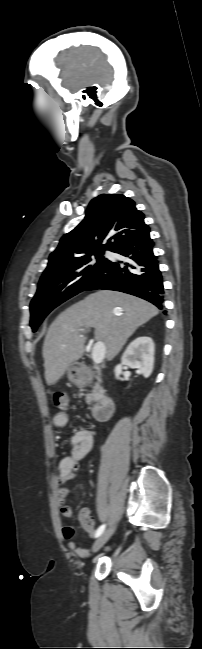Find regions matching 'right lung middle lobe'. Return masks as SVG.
Here are the masks:
<instances>
[{
	"label": "right lung middle lobe",
	"instance_id": "dd1d6c3e",
	"mask_svg": "<svg viewBox=\"0 0 202 649\" xmlns=\"http://www.w3.org/2000/svg\"><path fill=\"white\" fill-rule=\"evenodd\" d=\"M103 254L104 251L84 254L72 261L68 270L40 279L37 292L30 304V326L33 332L55 307L84 291L108 263L109 260L104 258Z\"/></svg>",
	"mask_w": 202,
	"mask_h": 649
}]
</instances>
